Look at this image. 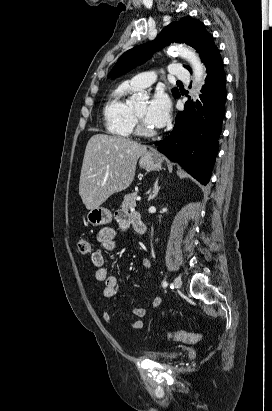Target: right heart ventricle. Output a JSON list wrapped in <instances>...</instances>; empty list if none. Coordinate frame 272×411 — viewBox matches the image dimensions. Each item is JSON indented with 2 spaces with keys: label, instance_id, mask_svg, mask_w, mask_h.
Wrapping results in <instances>:
<instances>
[{
  "label": "right heart ventricle",
  "instance_id": "e07e8e85",
  "mask_svg": "<svg viewBox=\"0 0 272 411\" xmlns=\"http://www.w3.org/2000/svg\"><path fill=\"white\" fill-rule=\"evenodd\" d=\"M134 91L135 89L128 82H124L109 95L103 109L105 124L109 133L121 137L132 135L131 105L127 101V96Z\"/></svg>",
  "mask_w": 272,
  "mask_h": 411
}]
</instances>
